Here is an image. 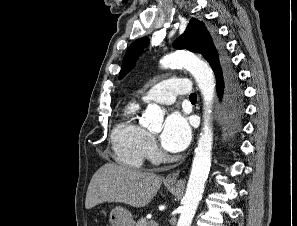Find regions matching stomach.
<instances>
[{"label":"stomach","instance_id":"0dacf381","mask_svg":"<svg viewBox=\"0 0 297 226\" xmlns=\"http://www.w3.org/2000/svg\"><path fill=\"white\" fill-rule=\"evenodd\" d=\"M112 226H134L135 221L130 211L123 207H115L110 213Z\"/></svg>","mask_w":297,"mask_h":226}]
</instances>
